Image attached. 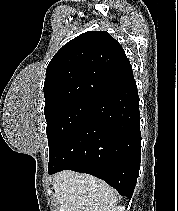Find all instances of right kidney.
Listing matches in <instances>:
<instances>
[{"label":"right kidney","instance_id":"ca27d5eb","mask_svg":"<svg viewBox=\"0 0 178 211\" xmlns=\"http://www.w3.org/2000/svg\"><path fill=\"white\" fill-rule=\"evenodd\" d=\"M125 210V207L123 206H118V207H115L113 208L111 211H124Z\"/></svg>","mask_w":178,"mask_h":211}]
</instances>
